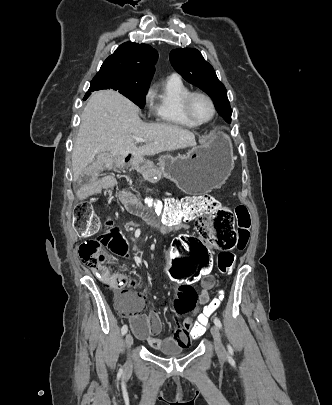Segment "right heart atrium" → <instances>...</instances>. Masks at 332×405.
Returning a JSON list of instances; mask_svg holds the SVG:
<instances>
[{"label":"right heart atrium","instance_id":"obj_1","mask_svg":"<svg viewBox=\"0 0 332 405\" xmlns=\"http://www.w3.org/2000/svg\"><path fill=\"white\" fill-rule=\"evenodd\" d=\"M149 99H150V93H147L146 100L149 101Z\"/></svg>","mask_w":332,"mask_h":405}]
</instances>
